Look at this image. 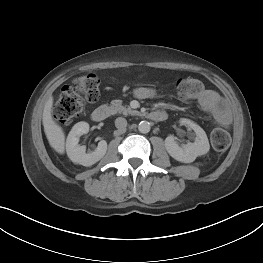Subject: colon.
<instances>
[{"label":"colon","mask_w":263,"mask_h":263,"mask_svg":"<svg viewBox=\"0 0 263 263\" xmlns=\"http://www.w3.org/2000/svg\"><path fill=\"white\" fill-rule=\"evenodd\" d=\"M99 84V78L95 74H88L63 87L54 106V119L59 123H68L78 117L85 103L97 101ZM176 89L181 99L188 100L200 96L204 91V84L196 78H182L178 80ZM230 142L231 137L224 129H215L211 134V144L217 151L226 150Z\"/></svg>","instance_id":"obj_1"}]
</instances>
